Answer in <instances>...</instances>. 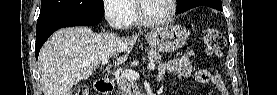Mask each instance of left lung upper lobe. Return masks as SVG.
Masks as SVG:
<instances>
[{"label": "left lung upper lobe", "mask_w": 277, "mask_h": 95, "mask_svg": "<svg viewBox=\"0 0 277 95\" xmlns=\"http://www.w3.org/2000/svg\"><path fill=\"white\" fill-rule=\"evenodd\" d=\"M197 6H208L222 11L221 0H177L176 13H183Z\"/></svg>", "instance_id": "obj_1"}]
</instances>
